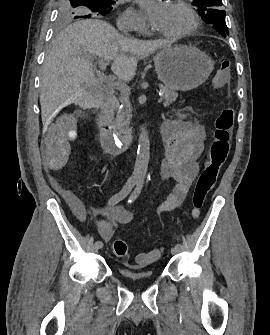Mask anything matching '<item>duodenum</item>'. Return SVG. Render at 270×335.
Segmentation results:
<instances>
[{
    "label": "duodenum",
    "instance_id": "410a0bca",
    "mask_svg": "<svg viewBox=\"0 0 270 335\" xmlns=\"http://www.w3.org/2000/svg\"><path fill=\"white\" fill-rule=\"evenodd\" d=\"M107 99L103 104L100 119L99 130L101 143L104 150L109 154H120L130 148L142 133L139 130L134 136L119 137L113 131V116L117 107V97L107 89Z\"/></svg>",
    "mask_w": 270,
    "mask_h": 335
}]
</instances>
